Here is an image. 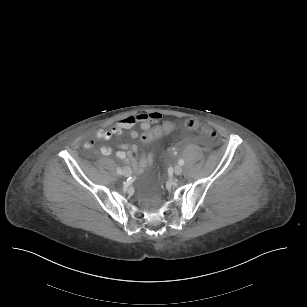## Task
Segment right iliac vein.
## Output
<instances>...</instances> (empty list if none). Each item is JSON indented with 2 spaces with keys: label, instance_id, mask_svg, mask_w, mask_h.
<instances>
[{
  "label": "right iliac vein",
  "instance_id": "obj_1",
  "mask_svg": "<svg viewBox=\"0 0 307 307\" xmlns=\"http://www.w3.org/2000/svg\"><path fill=\"white\" fill-rule=\"evenodd\" d=\"M132 174V170L129 167H126L123 171L125 177H129Z\"/></svg>",
  "mask_w": 307,
  "mask_h": 307
}]
</instances>
